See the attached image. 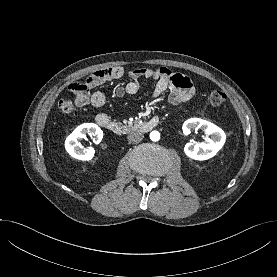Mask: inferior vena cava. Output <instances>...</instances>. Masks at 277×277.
Segmentation results:
<instances>
[{
    "mask_svg": "<svg viewBox=\"0 0 277 277\" xmlns=\"http://www.w3.org/2000/svg\"><path fill=\"white\" fill-rule=\"evenodd\" d=\"M144 136L140 132H131L128 134L127 139L129 143L137 144L143 140Z\"/></svg>",
    "mask_w": 277,
    "mask_h": 277,
    "instance_id": "1",
    "label": "inferior vena cava"
}]
</instances>
